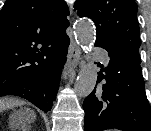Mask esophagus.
Masks as SVG:
<instances>
[{
	"label": "esophagus",
	"instance_id": "esophagus-1",
	"mask_svg": "<svg viewBox=\"0 0 151 131\" xmlns=\"http://www.w3.org/2000/svg\"><path fill=\"white\" fill-rule=\"evenodd\" d=\"M81 52L75 41H71L67 62L64 67V74H69L74 68L80 64Z\"/></svg>",
	"mask_w": 151,
	"mask_h": 131
}]
</instances>
